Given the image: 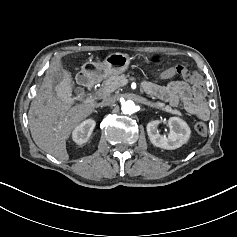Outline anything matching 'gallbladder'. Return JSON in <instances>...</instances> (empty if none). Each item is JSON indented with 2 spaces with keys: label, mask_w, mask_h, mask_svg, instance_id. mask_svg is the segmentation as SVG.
I'll return each instance as SVG.
<instances>
[{
  "label": "gallbladder",
  "mask_w": 237,
  "mask_h": 237,
  "mask_svg": "<svg viewBox=\"0 0 237 237\" xmlns=\"http://www.w3.org/2000/svg\"><path fill=\"white\" fill-rule=\"evenodd\" d=\"M60 80L59 85L56 87V92L59 96L61 103L70 105L73 102L72 90L74 88V76L71 69L63 68L58 72Z\"/></svg>",
  "instance_id": "obj_1"
}]
</instances>
